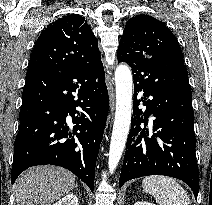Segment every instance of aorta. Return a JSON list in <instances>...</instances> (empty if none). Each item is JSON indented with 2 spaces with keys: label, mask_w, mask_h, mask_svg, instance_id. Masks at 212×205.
<instances>
[{
  "label": "aorta",
  "mask_w": 212,
  "mask_h": 205,
  "mask_svg": "<svg viewBox=\"0 0 212 205\" xmlns=\"http://www.w3.org/2000/svg\"><path fill=\"white\" fill-rule=\"evenodd\" d=\"M116 111L108 154L110 173L116 169L125 148L132 114V73L127 65L115 70Z\"/></svg>",
  "instance_id": "1"
}]
</instances>
